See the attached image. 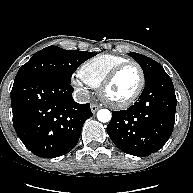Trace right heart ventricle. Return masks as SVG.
Listing matches in <instances>:
<instances>
[{"label": "right heart ventricle", "mask_w": 193, "mask_h": 193, "mask_svg": "<svg viewBox=\"0 0 193 193\" xmlns=\"http://www.w3.org/2000/svg\"><path fill=\"white\" fill-rule=\"evenodd\" d=\"M129 61L127 58L101 54L85 61L79 68L80 78L89 86L99 88L101 82L116 66Z\"/></svg>", "instance_id": "1"}]
</instances>
